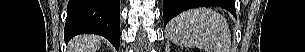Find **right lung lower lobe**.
Listing matches in <instances>:
<instances>
[{"label":"right lung lower lobe","instance_id":"1","mask_svg":"<svg viewBox=\"0 0 305 52\" xmlns=\"http://www.w3.org/2000/svg\"><path fill=\"white\" fill-rule=\"evenodd\" d=\"M120 0H69L65 42L78 34H98L119 49Z\"/></svg>","mask_w":305,"mask_h":52}]
</instances>
